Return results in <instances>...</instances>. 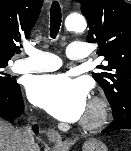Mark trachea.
<instances>
[{"label": "trachea", "instance_id": "1", "mask_svg": "<svg viewBox=\"0 0 131 151\" xmlns=\"http://www.w3.org/2000/svg\"><path fill=\"white\" fill-rule=\"evenodd\" d=\"M61 8L57 1H54L51 5L50 12V36L55 39L58 35L60 26H61Z\"/></svg>", "mask_w": 131, "mask_h": 151}]
</instances>
